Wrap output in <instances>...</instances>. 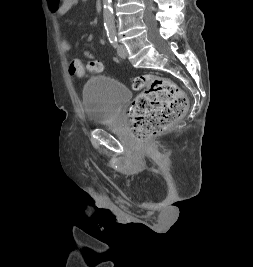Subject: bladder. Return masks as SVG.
<instances>
[{"label":"bladder","instance_id":"bladder-1","mask_svg":"<svg viewBox=\"0 0 253 267\" xmlns=\"http://www.w3.org/2000/svg\"><path fill=\"white\" fill-rule=\"evenodd\" d=\"M129 98L130 91L117 80L106 76L91 77L82 89V105L87 122L92 126L112 123Z\"/></svg>","mask_w":253,"mask_h":267}]
</instances>
